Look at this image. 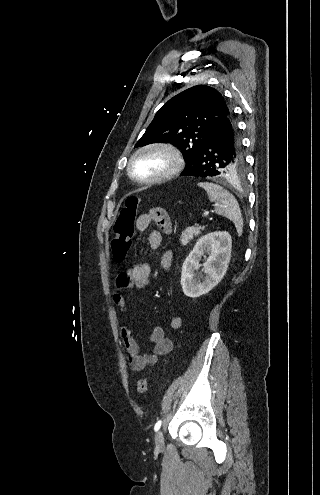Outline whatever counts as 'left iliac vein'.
<instances>
[{"mask_svg":"<svg viewBox=\"0 0 320 495\" xmlns=\"http://www.w3.org/2000/svg\"><path fill=\"white\" fill-rule=\"evenodd\" d=\"M155 445L158 450H162L164 448V437L161 430L157 431L155 434Z\"/></svg>","mask_w":320,"mask_h":495,"instance_id":"1","label":"left iliac vein"}]
</instances>
